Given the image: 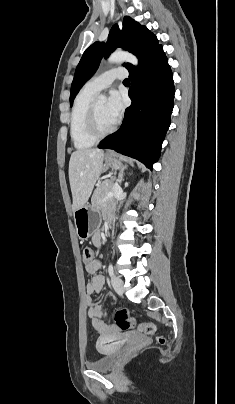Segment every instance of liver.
<instances>
[{
    "label": "liver",
    "instance_id": "6515ba94",
    "mask_svg": "<svg viewBox=\"0 0 235 404\" xmlns=\"http://www.w3.org/2000/svg\"><path fill=\"white\" fill-rule=\"evenodd\" d=\"M104 152L100 149L77 150L69 161V182L72 192V210L83 207L103 169Z\"/></svg>",
    "mask_w": 235,
    "mask_h": 404
}]
</instances>
